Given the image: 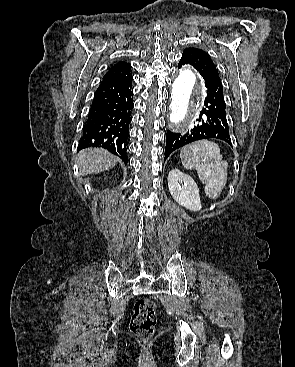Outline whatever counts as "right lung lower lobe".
Returning a JSON list of instances; mask_svg holds the SVG:
<instances>
[{
	"label": "right lung lower lobe",
	"mask_w": 295,
	"mask_h": 367,
	"mask_svg": "<svg viewBox=\"0 0 295 367\" xmlns=\"http://www.w3.org/2000/svg\"><path fill=\"white\" fill-rule=\"evenodd\" d=\"M132 79L102 82L98 87L83 128L78 151L102 147L128 161V137L133 108Z\"/></svg>",
	"instance_id": "1"
}]
</instances>
